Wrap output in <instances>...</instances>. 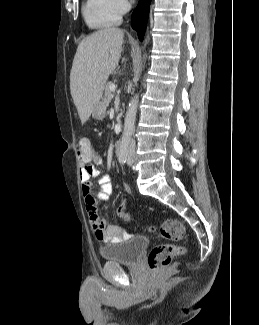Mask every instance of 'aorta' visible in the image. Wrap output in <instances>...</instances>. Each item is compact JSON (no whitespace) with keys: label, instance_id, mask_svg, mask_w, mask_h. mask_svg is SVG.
<instances>
[{"label":"aorta","instance_id":"762f6f07","mask_svg":"<svg viewBox=\"0 0 259 325\" xmlns=\"http://www.w3.org/2000/svg\"><path fill=\"white\" fill-rule=\"evenodd\" d=\"M137 107H138V96L135 95L128 106L125 120H124V127H123V138L130 139L135 128V121H136V114H137Z\"/></svg>","mask_w":259,"mask_h":325}]
</instances>
